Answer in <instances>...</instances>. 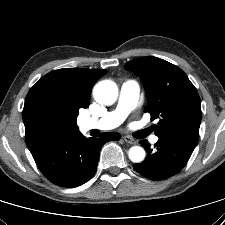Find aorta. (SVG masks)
<instances>
[{"label":"aorta","mask_w":225,"mask_h":225,"mask_svg":"<svg viewBox=\"0 0 225 225\" xmlns=\"http://www.w3.org/2000/svg\"><path fill=\"white\" fill-rule=\"evenodd\" d=\"M93 96L100 104L111 105L117 100L118 87L111 80L100 81L93 89ZM128 156L132 162L140 163L145 159V150L140 146H133L129 149Z\"/></svg>","instance_id":"obj_1"}]
</instances>
